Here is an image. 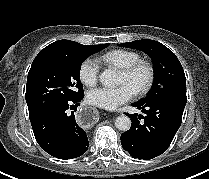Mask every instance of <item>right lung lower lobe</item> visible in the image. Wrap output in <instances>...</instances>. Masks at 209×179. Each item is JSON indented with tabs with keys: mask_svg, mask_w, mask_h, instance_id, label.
I'll list each match as a JSON object with an SVG mask.
<instances>
[{
	"mask_svg": "<svg viewBox=\"0 0 209 179\" xmlns=\"http://www.w3.org/2000/svg\"><path fill=\"white\" fill-rule=\"evenodd\" d=\"M84 97L55 104L34 119L31 125L38 144L48 154L59 159L83 155L89 146L85 131L75 121L74 111Z\"/></svg>",
	"mask_w": 209,
	"mask_h": 179,
	"instance_id": "right-lung-lower-lobe-1",
	"label": "right lung lower lobe"
}]
</instances>
